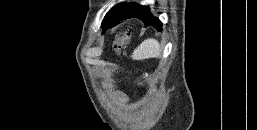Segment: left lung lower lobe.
<instances>
[{
	"instance_id": "obj_1",
	"label": "left lung lower lobe",
	"mask_w": 257,
	"mask_h": 130,
	"mask_svg": "<svg viewBox=\"0 0 257 130\" xmlns=\"http://www.w3.org/2000/svg\"><path fill=\"white\" fill-rule=\"evenodd\" d=\"M130 17H136L141 19L145 22L146 26L155 24L159 26L158 30L162 29L161 21L151 14L149 7L141 6L139 4H125L119 8L114 9L112 14L106 19L103 29L111 27L113 24H116V22L121 19H126Z\"/></svg>"
}]
</instances>
